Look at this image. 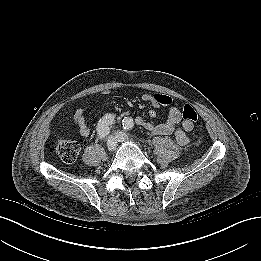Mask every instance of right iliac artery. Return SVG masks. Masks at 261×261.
Returning a JSON list of instances; mask_svg holds the SVG:
<instances>
[{
	"label": "right iliac artery",
	"instance_id": "82829eb1",
	"mask_svg": "<svg viewBox=\"0 0 261 261\" xmlns=\"http://www.w3.org/2000/svg\"><path fill=\"white\" fill-rule=\"evenodd\" d=\"M114 115L107 114L102 119H100L97 125V134L100 139H104L110 131V128L114 124Z\"/></svg>",
	"mask_w": 261,
	"mask_h": 261
}]
</instances>
